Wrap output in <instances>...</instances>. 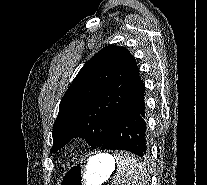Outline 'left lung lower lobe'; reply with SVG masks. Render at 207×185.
Returning a JSON list of instances; mask_svg holds the SVG:
<instances>
[{
    "mask_svg": "<svg viewBox=\"0 0 207 185\" xmlns=\"http://www.w3.org/2000/svg\"><path fill=\"white\" fill-rule=\"evenodd\" d=\"M144 93L145 90L118 115L101 150H126L146 156Z\"/></svg>",
    "mask_w": 207,
    "mask_h": 185,
    "instance_id": "0a47b994",
    "label": "left lung lower lobe"
}]
</instances>
